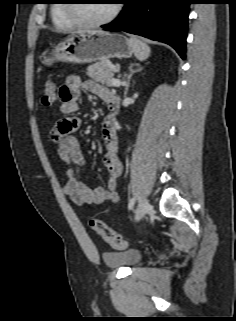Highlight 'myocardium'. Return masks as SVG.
I'll use <instances>...</instances> for the list:
<instances>
[{"label":"myocardium","mask_w":236,"mask_h":321,"mask_svg":"<svg viewBox=\"0 0 236 321\" xmlns=\"http://www.w3.org/2000/svg\"><path fill=\"white\" fill-rule=\"evenodd\" d=\"M66 9L69 17L73 19L78 25L85 27H100L112 22L121 10V5L119 3H114L112 11L110 14L101 20H88L80 14L81 0H68Z\"/></svg>","instance_id":"f54148a6"}]
</instances>
